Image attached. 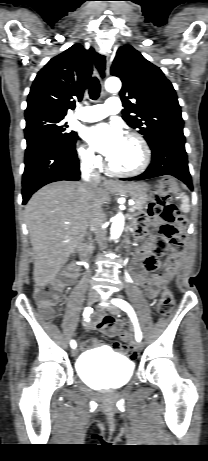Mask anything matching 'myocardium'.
<instances>
[{
    "instance_id": "obj_1",
    "label": "myocardium",
    "mask_w": 208,
    "mask_h": 461,
    "mask_svg": "<svg viewBox=\"0 0 208 461\" xmlns=\"http://www.w3.org/2000/svg\"><path fill=\"white\" fill-rule=\"evenodd\" d=\"M126 138L132 139L138 144L140 151H141V155H142V160H141L140 165L132 170H119V169H116L112 165L109 159L107 161V169L110 173L116 176L132 177V176H136V175L143 173L147 169V167L150 164V160H151V152H150V148L146 140L139 133L129 132L126 134Z\"/></svg>"
}]
</instances>
